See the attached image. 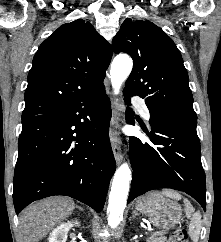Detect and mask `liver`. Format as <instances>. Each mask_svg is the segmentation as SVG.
Instances as JSON below:
<instances>
[{
	"mask_svg": "<svg viewBox=\"0 0 221 242\" xmlns=\"http://www.w3.org/2000/svg\"><path fill=\"white\" fill-rule=\"evenodd\" d=\"M75 209L72 199L53 197L29 205L20 215L24 242H38Z\"/></svg>",
	"mask_w": 221,
	"mask_h": 242,
	"instance_id": "obj_1",
	"label": "liver"
}]
</instances>
